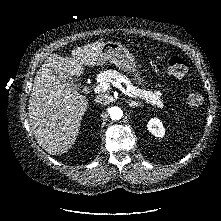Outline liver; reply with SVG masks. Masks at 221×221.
<instances>
[{
	"label": "liver",
	"instance_id": "obj_1",
	"mask_svg": "<svg viewBox=\"0 0 221 221\" xmlns=\"http://www.w3.org/2000/svg\"><path fill=\"white\" fill-rule=\"evenodd\" d=\"M103 42L72 50V58L52 54L37 72L29 98V122L37 143L49 154L67 152L75 143L88 100L60 78L83 74L98 64Z\"/></svg>",
	"mask_w": 221,
	"mask_h": 221
}]
</instances>
